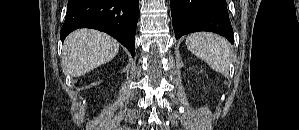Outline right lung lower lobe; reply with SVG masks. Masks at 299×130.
<instances>
[{
	"mask_svg": "<svg viewBox=\"0 0 299 130\" xmlns=\"http://www.w3.org/2000/svg\"><path fill=\"white\" fill-rule=\"evenodd\" d=\"M139 0H69L60 38L78 28L108 33L134 57Z\"/></svg>",
	"mask_w": 299,
	"mask_h": 130,
	"instance_id": "1",
	"label": "right lung lower lobe"
}]
</instances>
